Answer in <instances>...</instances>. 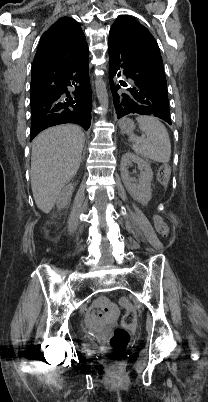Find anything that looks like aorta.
<instances>
[{"mask_svg":"<svg viewBox=\"0 0 208 402\" xmlns=\"http://www.w3.org/2000/svg\"><path fill=\"white\" fill-rule=\"evenodd\" d=\"M95 88H96V94H97V98L99 100L100 106H102V108H105V110H107V108L109 106L108 94H107L106 86H105L101 76H98V78H96Z\"/></svg>","mask_w":208,"mask_h":402,"instance_id":"1","label":"aorta"}]
</instances>
